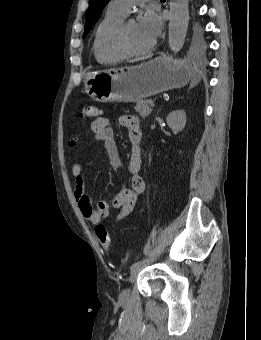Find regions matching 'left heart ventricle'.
Segmentation results:
<instances>
[{"instance_id":"left-heart-ventricle-1","label":"left heart ventricle","mask_w":261,"mask_h":340,"mask_svg":"<svg viewBox=\"0 0 261 340\" xmlns=\"http://www.w3.org/2000/svg\"><path fill=\"white\" fill-rule=\"evenodd\" d=\"M127 47L132 51H140L152 44V40L145 35L138 26L137 22L128 25L125 33Z\"/></svg>"}]
</instances>
